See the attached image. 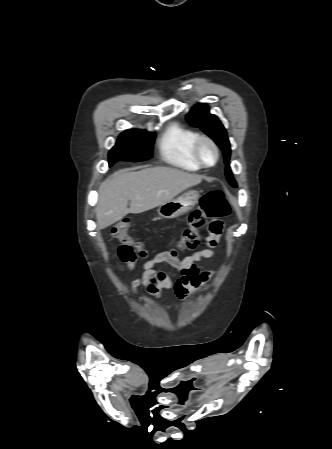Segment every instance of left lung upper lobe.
<instances>
[{"instance_id": "obj_1", "label": "left lung upper lobe", "mask_w": 332, "mask_h": 449, "mask_svg": "<svg viewBox=\"0 0 332 449\" xmlns=\"http://www.w3.org/2000/svg\"><path fill=\"white\" fill-rule=\"evenodd\" d=\"M187 121L195 127L201 128L208 136H210L216 144L222 149L226 166V178L228 182L237 187V184L232 176L231 169L229 167L230 159V143L227 137L225 128L220 120L213 114L209 113V108L206 104L195 105L190 113L187 115Z\"/></svg>"}]
</instances>
